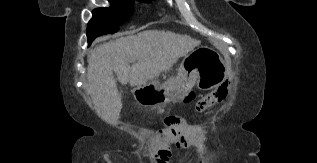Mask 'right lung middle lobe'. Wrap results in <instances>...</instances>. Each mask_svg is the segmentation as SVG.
Returning <instances> with one entry per match:
<instances>
[{"label": "right lung middle lobe", "instance_id": "obj_1", "mask_svg": "<svg viewBox=\"0 0 317 163\" xmlns=\"http://www.w3.org/2000/svg\"><path fill=\"white\" fill-rule=\"evenodd\" d=\"M110 8H98L93 11V18L87 27L88 45L100 35L112 34L118 31L117 25L122 24L132 15L133 0H108ZM144 1V0H140Z\"/></svg>", "mask_w": 317, "mask_h": 163}]
</instances>
